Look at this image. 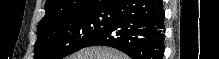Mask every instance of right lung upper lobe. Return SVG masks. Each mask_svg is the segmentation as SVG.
I'll list each match as a JSON object with an SVG mask.
<instances>
[{"instance_id": "obj_1", "label": "right lung upper lobe", "mask_w": 219, "mask_h": 59, "mask_svg": "<svg viewBox=\"0 0 219 59\" xmlns=\"http://www.w3.org/2000/svg\"><path fill=\"white\" fill-rule=\"evenodd\" d=\"M118 0H47L39 25L69 16L112 10Z\"/></svg>"}]
</instances>
